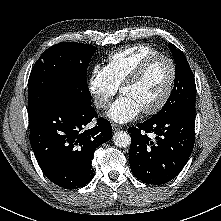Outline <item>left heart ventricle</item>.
I'll use <instances>...</instances> for the list:
<instances>
[{
  "label": "left heart ventricle",
  "mask_w": 221,
  "mask_h": 221,
  "mask_svg": "<svg viewBox=\"0 0 221 221\" xmlns=\"http://www.w3.org/2000/svg\"><path fill=\"white\" fill-rule=\"evenodd\" d=\"M170 74L169 63L164 59H157L134 85L123 89L122 95L131 98L141 110L151 108L163 97Z\"/></svg>",
  "instance_id": "left-heart-ventricle-1"
}]
</instances>
